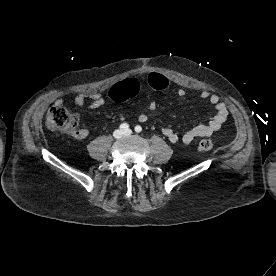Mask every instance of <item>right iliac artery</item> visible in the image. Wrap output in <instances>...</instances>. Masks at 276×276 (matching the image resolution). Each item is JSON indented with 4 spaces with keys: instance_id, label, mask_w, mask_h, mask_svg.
Returning <instances> with one entry per match:
<instances>
[{
    "instance_id": "82829eb1",
    "label": "right iliac artery",
    "mask_w": 276,
    "mask_h": 276,
    "mask_svg": "<svg viewBox=\"0 0 276 276\" xmlns=\"http://www.w3.org/2000/svg\"><path fill=\"white\" fill-rule=\"evenodd\" d=\"M120 129L126 131V130L129 129V125H128L127 123H122V124L120 125Z\"/></svg>"
}]
</instances>
